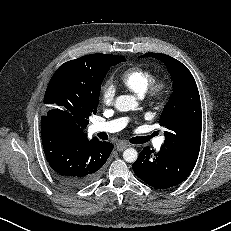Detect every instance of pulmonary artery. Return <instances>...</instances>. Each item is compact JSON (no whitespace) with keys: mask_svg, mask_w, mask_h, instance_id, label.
<instances>
[{"mask_svg":"<svg viewBox=\"0 0 231 231\" xmlns=\"http://www.w3.org/2000/svg\"><path fill=\"white\" fill-rule=\"evenodd\" d=\"M127 124L126 118H119L112 121L107 122H95L91 125L90 130L92 132H117L123 129ZM163 142V138H159L154 141V145L156 148H159Z\"/></svg>","mask_w":231,"mask_h":231,"instance_id":"e3ab8cb5","label":"pulmonary artery"}]
</instances>
